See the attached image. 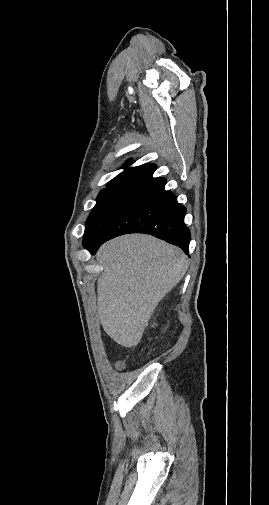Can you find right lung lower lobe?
Returning <instances> with one entry per match:
<instances>
[{"label":"right lung lower lobe","mask_w":269,"mask_h":505,"mask_svg":"<svg viewBox=\"0 0 269 505\" xmlns=\"http://www.w3.org/2000/svg\"><path fill=\"white\" fill-rule=\"evenodd\" d=\"M166 179L155 178L117 212L98 239L85 248L95 254L99 246L119 235L145 233L179 246L186 254L190 231L184 223L186 208L165 190Z\"/></svg>","instance_id":"98d812e1"}]
</instances>
